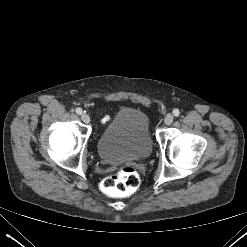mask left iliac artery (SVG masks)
<instances>
[{
  "label": "left iliac artery",
  "mask_w": 247,
  "mask_h": 247,
  "mask_svg": "<svg viewBox=\"0 0 247 247\" xmlns=\"http://www.w3.org/2000/svg\"><path fill=\"white\" fill-rule=\"evenodd\" d=\"M173 114H174V116H179V114H180L179 109H174Z\"/></svg>",
  "instance_id": "44dca946"
}]
</instances>
